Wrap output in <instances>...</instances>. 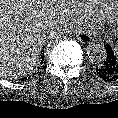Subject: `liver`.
Segmentation results:
<instances>
[{
	"mask_svg": "<svg viewBox=\"0 0 118 118\" xmlns=\"http://www.w3.org/2000/svg\"><path fill=\"white\" fill-rule=\"evenodd\" d=\"M68 0H0V76L27 75L54 35L52 27L69 18Z\"/></svg>",
	"mask_w": 118,
	"mask_h": 118,
	"instance_id": "1",
	"label": "liver"
}]
</instances>
